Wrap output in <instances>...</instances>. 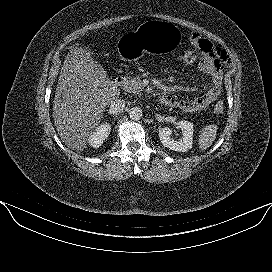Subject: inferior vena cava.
I'll use <instances>...</instances> for the list:
<instances>
[{"instance_id":"602c4592","label":"inferior vena cava","mask_w":272,"mask_h":272,"mask_svg":"<svg viewBox=\"0 0 272 272\" xmlns=\"http://www.w3.org/2000/svg\"><path fill=\"white\" fill-rule=\"evenodd\" d=\"M125 109V101L123 99H115L111 104H110V113L113 115H118L122 113Z\"/></svg>"}]
</instances>
